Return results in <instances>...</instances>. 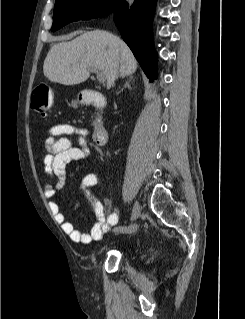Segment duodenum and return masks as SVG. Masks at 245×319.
<instances>
[{
    "instance_id": "obj_1",
    "label": "duodenum",
    "mask_w": 245,
    "mask_h": 319,
    "mask_svg": "<svg viewBox=\"0 0 245 319\" xmlns=\"http://www.w3.org/2000/svg\"><path fill=\"white\" fill-rule=\"evenodd\" d=\"M82 103L97 109L105 106V97L96 90L86 91L82 96ZM108 139V131L101 117H96L93 121V141L97 146H104Z\"/></svg>"
}]
</instances>
